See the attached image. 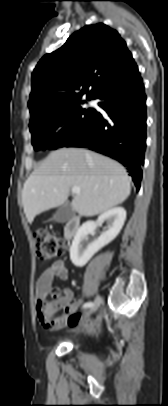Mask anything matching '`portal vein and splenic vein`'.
Here are the masks:
<instances>
[{"instance_id": "18ae733b", "label": "portal vein and splenic vein", "mask_w": 168, "mask_h": 406, "mask_svg": "<svg viewBox=\"0 0 168 406\" xmlns=\"http://www.w3.org/2000/svg\"><path fill=\"white\" fill-rule=\"evenodd\" d=\"M81 192L80 187L74 186L72 187V193L79 194Z\"/></svg>"}]
</instances>
